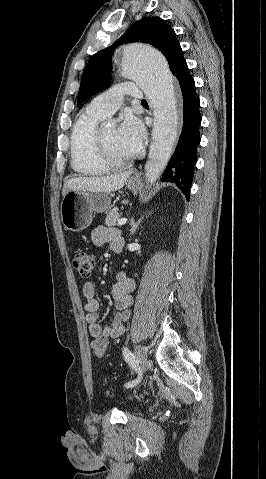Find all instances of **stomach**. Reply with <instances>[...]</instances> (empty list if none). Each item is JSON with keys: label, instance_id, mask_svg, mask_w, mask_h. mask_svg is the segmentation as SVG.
Listing matches in <instances>:
<instances>
[{"label": "stomach", "instance_id": "obj_1", "mask_svg": "<svg viewBox=\"0 0 266 479\" xmlns=\"http://www.w3.org/2000/svg\"><path fill=\"white\" fill-rule=\"evenodd\" d=\"M130 190L137 191L139 182L130 179L127 183ZM111 198L108 193L69 191L61 202V220L64 228L79 232L90 226L93 214L108 212Z\"/></svg>", "mask_w": 266, "mask_h": 479}]
</instances>
